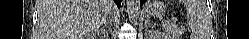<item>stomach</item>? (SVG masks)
I'll return each instance as SVG.
<instances>
[{
	"label": "stomach",
	"instance_id": "1",
	"mask_svg": "<svg viewBox=\"0 0 249 39\" xmlns=\"http://www.w3.org/2000/svg\"><path fill=\"white\" fill-rule=\"evenodd\" d=\"M147 12L156 16H161L165 12V6L160 1H154L153 3L148 4Z\"/></svg>",
	"mask_w": 249,
	"mask_h": 39
}]
</instances>
